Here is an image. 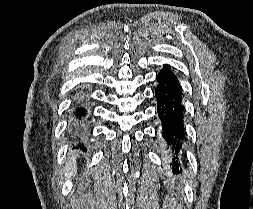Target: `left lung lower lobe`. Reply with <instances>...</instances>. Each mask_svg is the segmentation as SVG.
I'll return each instance as SVG.
<instances>
[{"instance_id":"left-lung-lower-lobe-1","label":"left lung lower lobe","mask_w":253,"mask_h":209,"mask_svg":"<svg viewBox=\"0 0 253 209\" xmlns=\"http://www.w3.org/2000/svg\"><path fill=\"white\" fill-rule=\"evenodd\" d=\"M158 85L155 89L157 113L161 122V133L166 149L172 154L173 172L181 171L179 156L185 139L184 106L182 87L170 65H164L156 76Z\"/></svg>"}]
</instances>
